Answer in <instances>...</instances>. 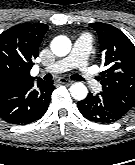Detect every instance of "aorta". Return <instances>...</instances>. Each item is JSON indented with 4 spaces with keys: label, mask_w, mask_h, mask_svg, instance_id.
Returning a JSON list of instances; mask_svg holds the SVG:
<instances>
[{
    "label": "aorta",
    "mask_w": 135,
    "mask_h": 165,
    "mask_svg": "<svg viewBox=\"0 0 135 165\" xmlns=\"http://www.w3.org/2000/svg\"><path fill=\"white\" fill-rule=\"evenodd\" d=\"M51 50L57 56H65L71 50V42L67 37H57L51 44ZM70 94L74 99L80 101L86 98L88 90L83 83L77 82L71 85Z\"/></svg>",
    "instance_id": "aorta-1"
}]
</instances>
